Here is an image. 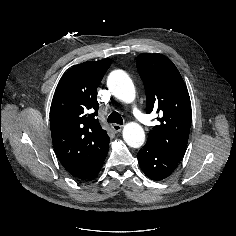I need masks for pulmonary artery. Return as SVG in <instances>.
<instances>
[{"label": "pulmonary artery", "instance_id": "e3ab8cb5", "mask_svg": "<svg viewBox=\"0 0 236 236\" xmlns=\"http://www.w3.org/2000/svg\"><path fill=\"white\" fill-rule=\"evenodd\" d=\"M132 112L134 116L143 124H147L149 122L148 117L143 114L136 106H133Z\"/></svg>", "mask_w": 236, "mask_h": 236}]
</instances>
